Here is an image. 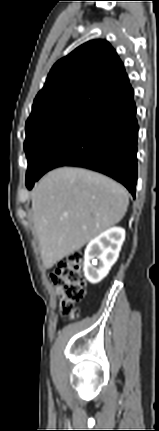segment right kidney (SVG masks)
<instances>
[{
	"instance_id": "obj_1",
	"label": "right kidney",
	"mask_w": 159,
	"mask_h": 431,
	"mask_svg": "<svg viewBox=\"0 0 159 431\" xmlns=\"http://www.w3.org/2000/svg\"><path fill=\"white\" fill-rule=\"evenodd\" d=\"M125 240V230L113 227L89 242L84 255V275L92 283H99L107 276L118 259Z\"/></svg>"
}]
</instances>
